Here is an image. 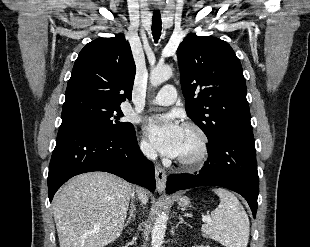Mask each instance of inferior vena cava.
Listing matches in <instances>:
<instances>
[{"label":"inferior vena cava","mask_w":310,"mask_h":247,"mask_svg":"<svg viewBox=\"0 0 310 247\" xmlns=\"http://www.w3.org/2000/svg\"><path fill=\"white\" fill-rule=\"evenodd\" d=\"M141 150L143 154L151 160H155V158L157 157L156 151L148 144L141 145ZM133 196H134V190L132 193V197Z\"/></svg>","instance_id":"602c4592"}]
</instances>
